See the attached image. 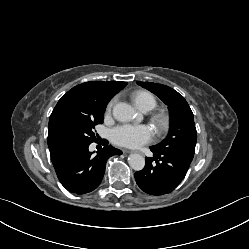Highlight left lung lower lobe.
Here are the masks:
<instances>
[{"label": "left lung lower lobe", "instance_id": "obj_1", "mask_svg": "<svg viewBox=\"0 0 249 249\" xmlns=\"http://www.w3.org/2000/svg\"><path fill=\"white\" fill-rule=\"evenodd\" d=\"M153 157L146 158L143 170L135 173L138 186L151 195H163L172 192L185 177L192 156L163 152L150 147Z\"/></svg>", "mask_w": 249, "mask_h": 249}]
</instances>
